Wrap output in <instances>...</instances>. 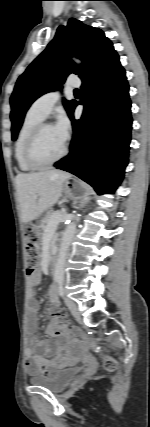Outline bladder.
<instances>
[{"instance_id": "31cf9c89", "label": "bladder", "mask_w": 150, "mask_h": 427, "mask_svg": "<svg viewBox=\"0 0 150 427\" xmlns=\"http://www.w3.org/2000/svg\"><path fill=\"white\" fill-rule=\"evenodd\" d=\"M77 374L76 367H66L53 370L44 376H33L29 381L34 386L43 387L52 392H61L75 379Z\"/></svg>"}]
</instances>
